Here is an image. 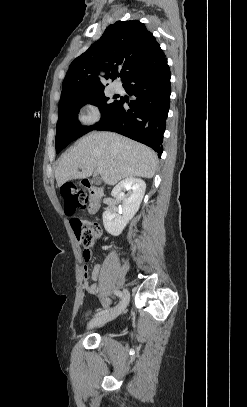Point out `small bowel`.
I'll return each mask as SVG.
<instances>
[{
    "label": "small bowel",
    "mask_w": 247,
    "mask_h": 407,
    "mask_svg": "<svg viewBox=\"0 0 247 407\" xmlns=\"http://www.w3.org/2000/svg\"><path fill=\"white\" fill-rule=\"evenodd\" d=\"M90 258H91V252H90V251H89V252L83 251V253H82V260H83V262L85 263V266H84V276H83L84 289H85L88 293L94 294V293L97 292V285H96V283L90 284V283L88 282V267H87V263H88V261L90 260ZM100 270H101V265H99V264L94 265L93 272H92V280H93V281H97V280H98ZM104 304H105V305H108V304H109V301H108V300H105V301H104Z\"/></svg>",
    "instance_id": "small-bowel-1"
}]
</instances>
